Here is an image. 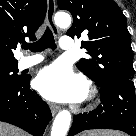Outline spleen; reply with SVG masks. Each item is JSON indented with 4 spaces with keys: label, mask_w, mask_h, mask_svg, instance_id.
I'll list each match as a JSON object with an SVG mask.
<instances>
[{
    "label": "spleen",
    "mask_w": 136,
    "mask_h": 136,
    "mask_svg": "<svg viewBox=\"0 0 136 136\" xmlns=\"http://www.w3.org/2000/svg\"><path fill=\"white\" fill-rule=\"evenodd\" d=\"M83 136H122V135L118 132L104 130V131H90L88 133H85Z\"/></svg>",
    "instance_id": "1"
}]
</instances>
